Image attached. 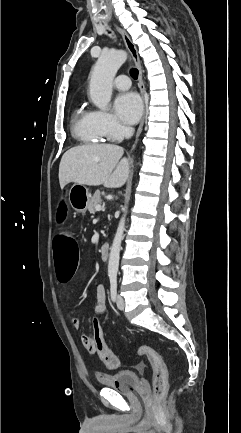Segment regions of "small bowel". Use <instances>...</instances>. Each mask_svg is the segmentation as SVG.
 <instances>
[{"label":"small bowel","instance_id":"small-bowel-1","mask_svg":"<svg viewBox=\"0 0 241 433\" xmlns=\"http://www.w3.org/2000/svg\"><path fill=\"white\" fill-rule=\"evenodd\" d=\"M106 309H107L106 290H105L104 285L100 283L96 286V303H95L94 310L97 314H103L106 312ZM71 323L75 329H79L81 327V321L77 317H73L71 320ZM81 340H82V343L85 346V348L90 353H96L95 351H91L87 348V343L93 341V338L91 336H89L87 334H83L81 336Z\"/></svg>","mask_w":241,"mask_h":433}]
</instances>
